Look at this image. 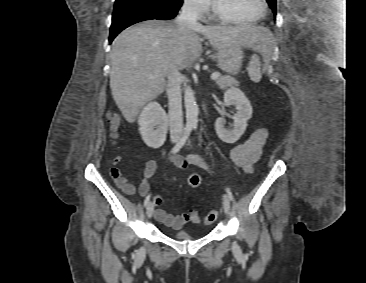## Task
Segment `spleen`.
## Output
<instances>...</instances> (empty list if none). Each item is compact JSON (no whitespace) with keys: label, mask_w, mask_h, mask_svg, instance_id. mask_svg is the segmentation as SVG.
<instances>
[{"label":"spleen","mask_w":366,"mask_h":283,"mask_svg":"<svg viewBox=\"0 0 366 283\" xmlns=\"http://www.w3.org/2000/svg\"><path fill=\"white\" fill-rule=\"evenodd\" d=\"M248 75L253 82H259L262 78L260 61L257 54L251 57L249 65L247 67Z\"/></svg>","instance_id":"1"}]
</instances>
